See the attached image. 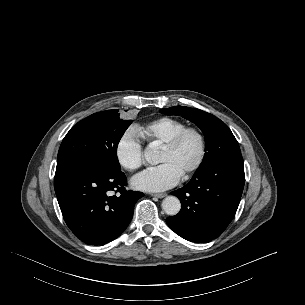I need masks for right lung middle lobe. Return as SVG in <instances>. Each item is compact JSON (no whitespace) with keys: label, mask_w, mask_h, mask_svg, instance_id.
Instances as JSON below:
<instances>
[{"label":"right lung middle lobe","mask_w":305,"mask_h":305,"mask_svg":"<svg viewBox=\"0 0 305 305\" xmlns=\"http://www.w3.org/2000/svg\"><path fill=\"white\" fill-rule=\"evenodd\" d=\"M132 120H122L117 109L90 115L74 125L64 137L57 167L91 166L120 171L117 146Z\"/></svg>","instance_id":"dd1d6c3e"}]
</instances>
